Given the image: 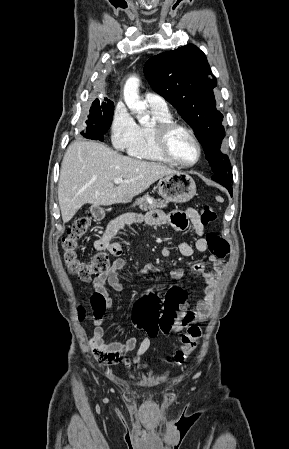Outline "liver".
Returning a JSON list of instances; mask_svg holds the SVG:
<instances>
[{
  "mask_svg": "<svg viewBox=\"0 0 289 449\" xmlns=\"http://www.w3.org/2000/svg\"><path fill=\"white\" fill-rule=\"evenodd\" d=\"M177 173L161 165L123 156L93 141H74L64 155L58 201L64 223L86 203L108 206L128 203L164 176ZM129 181L114 186V179Z\"/></svg>",
  "mask_w": 289,
  "mask_h": 449,
  "instance_id": "1",
  "label": "liver"
}]
</instances>
